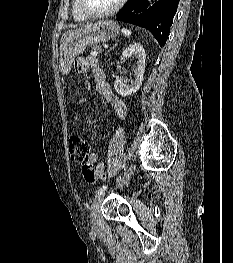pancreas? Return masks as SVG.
<instances>
[{
    "label": "pancreas",
    "mask_w": 233,
    "mask_h": 263,
    "mask_svg": "<svg viewBox=\"0 0 233 263\" xmlns=\"http://www.w3.org/2000/svg\"><path fill=\"white\" fill-rule=\"evenodd\" d=\"M99 49H101V46H95V47L92 48L93 51H97Z\"/></svg>",
    "instance_id": "1"
}]
</instances>
